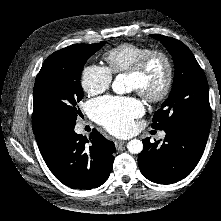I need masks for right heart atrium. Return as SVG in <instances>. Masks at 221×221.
I'll return each mask as SVG.
<instances>
[{
  "instance_id": "d8ad5b80",
  "label": "right heart atrium",
  "mask_w": 221,
  "mask_h": 221,
  "mask_svg": "<svg viewBox=\"0 0 221 221\" xmlns=\"http://www.w3.org/2000/svg\"><path fill=\"white\" fill-rule=\"evenodd\" d=\"M112 83V74L106 67L97 64H87L81 74V85L84 91L95 96L106 91Z\"/></svg>"
}]
</instances>
